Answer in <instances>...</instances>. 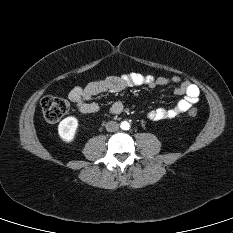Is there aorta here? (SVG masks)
<instances>
[{"instance_id":"1","label":"aorta","mask_w":233,"mask_h":233,"mask_svg":"<svg viewBox=\"0 0 233 233\" xmlns=\"http://www.w3.org/2000/svg\"><path fill=\"white\" fill-rule=\"evenodd\" d=\"M120 127L123 130H128L130 125H129V123L127 121H123V122H121Z\"/></svg>"}]
</instances>
